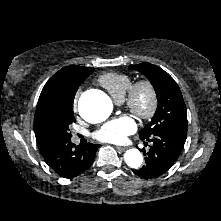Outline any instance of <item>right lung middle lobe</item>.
<instances>
[{"label": "right lung middle lobe", "mask_w": 221, "mask_h": 221, "mask_svg": "<svg viewBox=\"0 0 221 221\" xmlns=\"http://www.w3.org/2000/svg\"><path fill=\"white\" fill-rule=\"evenodd\" d=\"M82 75V82L93 72ZM75 94L57 98L53 101L37 106L34 127L39 134L50 142L71 140L70 125L75 122L73 101Z\"/></svg>", "instance_id": "1"}]
</instances>
